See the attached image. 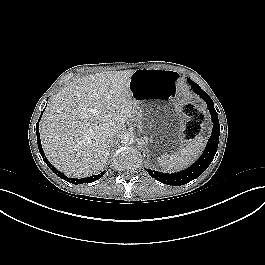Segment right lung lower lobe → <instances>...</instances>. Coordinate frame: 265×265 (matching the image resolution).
I'll use <instances>...</instances> for the list:
<instances>
[{
  "mask_svg": "<svg viewBox=\"0 0 265 265\" xmlns=\"http://www.w3.org/2000/svg\"><path fill=\"white\" fill-rule=\"evenodd\" d=\"M43 113V112H42ZM42 115V114H41ZM41 118V116H40ZM39 118V120H40ZM39 120H38V123H37V143H38V148H39V152L44 160V162L48 165V167L55 173L57 174L60 178L64 179V180H67L68 182L72 183V184H83V183H91V182H94L98 179H100L103 175H104V172L98 174V175H93V176H90V177H87V178H83V179H74V178H68L66 177L63 173L59 172L58 170H56V168L54 166H52L50 164V162L48 161V159L46 158L44 152H43V149H42V146H41V141H40V135H39Z\"/></svg>",
  "mask_w": 265,
  "mask_h": 265,
  "instance_id": "right-lung-lower-lobe-1",
  "label": "right lung lower lobe"
}]
</instances>
